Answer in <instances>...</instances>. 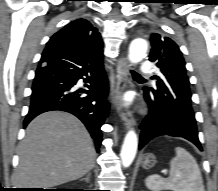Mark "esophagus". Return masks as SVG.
Masks as SVG:
<instances>
[{"label":"esophagus","instance_id":"obj_1","mask_svg":"<svg viewBox=\"0 0 218 191\" xmlns=\"http://www.w3.org/2000/svg\"><path fill=\"white\" fill-rule=\"evenodd\" d=\"M127 84L128 61L126 56H121L116 62L115 100L119 117L124 122V124L129 127L133 123L132 113L124 107V104L121 100L122 94L127 88Z\"/></svg>","mask_w":218,"mask_h":191}]
</instances>
